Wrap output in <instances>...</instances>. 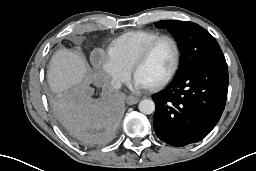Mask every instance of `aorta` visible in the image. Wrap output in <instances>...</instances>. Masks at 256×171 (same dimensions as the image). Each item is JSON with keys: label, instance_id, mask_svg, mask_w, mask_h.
<instances>
[{"label": "aorta", "instance_id": "762f6f07", "mask_svg": "<svg viewBox=\"0 0 256 171\" xmlns=\"http://www.w3.org/2000/svg\"><path fill=\"white\" fill-rule=\"evenodd\" d=\"M138 108L141 113L149 115L155 111V103L151 99H143L140 101Z\"/></svg>", "mask_w": 256, "mask_h": 171}]
</instances>
